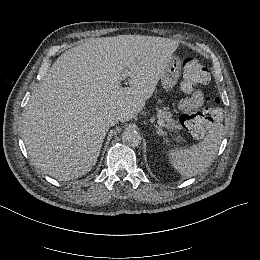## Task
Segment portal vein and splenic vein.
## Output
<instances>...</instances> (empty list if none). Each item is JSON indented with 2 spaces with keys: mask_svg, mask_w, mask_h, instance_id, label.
Instances as JSON below:
<instances>
[{
  "mask_svg": "<svg viewBox=\"0 0 260 260\" xmlns=\"http://www.w3.org/2000/svg\"><path fill=\"white\" fill-rule=\"evenodd\" d=\"M123 80H125L127 77H124L122 76ZM158 123L161 125V126H164V121L162 119H159L158 120Z\"/></svg>",
  "mask_w": 260,
  "mask_h": 260,
  "instance_id": "obj_1",
  "label": "portal vein and splenic vein"
}]
</instances>
